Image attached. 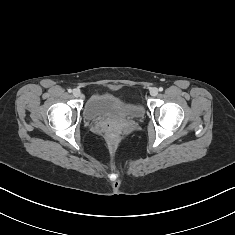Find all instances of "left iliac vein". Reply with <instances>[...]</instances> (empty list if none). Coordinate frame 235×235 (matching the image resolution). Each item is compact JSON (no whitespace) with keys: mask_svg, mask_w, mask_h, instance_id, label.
<instances>
[{"mask_svg":"<svg viewBox=\"0 0 235 235\" xmlns=\"http://www.w3.org/2000/svg\"><path fill=\"white\" fill-rule=\"evenodd\" d=\"M150 94L151 96H157L158 94V89L156 87H153L151 90H150Z\"/></svg>","mask_w":235,"mask_h":235,"instance_id":"1","label":"left iliac vein"}]
</instances>
